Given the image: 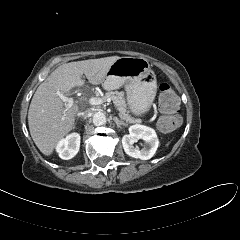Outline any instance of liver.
I'll return each mask as SVG.
<instances>
[{"label":"liver","mask_w":240,"mask_h":240,"mask_svg":"<svg viewBox=\"0 0 240 240\" xmlns=\"http://www.w3.org/2000/svg\"><path fill=\"white\" fill-rule=\"evenodd\" d=\"M118 56L89 59L63 64L56 68L39 85L30 103L28 124L31 137L44 155H51L59 143L73 128L79 106L67 108L57 95H66L73 87L84 85V74L89 83L103 84L110 67Z\"/></svg>","instance_id":"liver-1"}]
</instances>
